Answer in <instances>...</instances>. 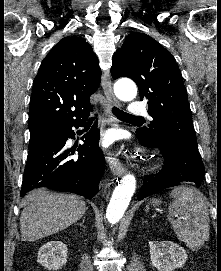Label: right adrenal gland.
<instances>
[{"instance_id":"obj_1","label":"right adrenal gland","mask_w":221,"mask_h":271,"mask_svg":"<svg viewBox=\"0 0 221 271\" xmlns=\"http://www.w3.org/2000/svg\"><path fill=\"white\" fill-rule=\"evenodd\" d=\"M85 217L82 219V223H77V225H83Z\"/></svg>"}]
</instances>
